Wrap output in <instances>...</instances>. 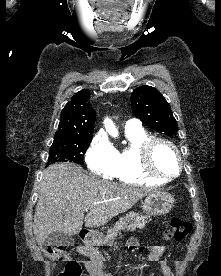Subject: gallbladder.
I'll use <instances>...</instances> for the list:
<instances>
[{"instance_id":"obj_1","label":"gallbladder","mask_w":221,"mask_h":276,"mask_svg":"<svg viewBox=\"0 0 221 276\" xmlns=\"http://www.w3.org/2000/svg\"><path fill=\"white\" fill-rule=\"evenodd\" d=\"M74 244L72 236L64 234L60 231H55L48 235L45 240L46 246H71Z\"/></svg>"}]
</instances>
